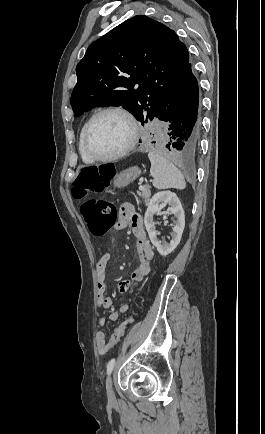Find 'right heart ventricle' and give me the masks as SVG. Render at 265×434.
<instances>
[{
	"instance_id": "right-heart-ventricle-1",
	"label": "right heart ventricle",
	"mask_w": 265,
	"mask_h": 434,
	"mask_svg": "<svg viewBox=\"0 0 265 434\" xmlns=\"http://www.w3.org/2000/svg\"><path fill=\"white\" fill-rule=\"evenodd\" d=\"M87 123H88V121L85 122L82 125L81 129H80V132H79V135H78V139H77V152H78V156H79V159H80L81 163L84 164V165L90 166V165H93L95 162L92 161L91 159H89L84 154V151H83V148H82V138H83V136L85 134Z\"/></svg>"
}]
</instances>
